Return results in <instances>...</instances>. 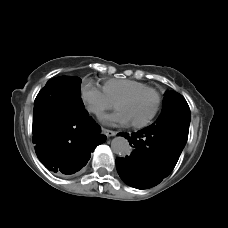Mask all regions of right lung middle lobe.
<instances>
[{
  "instance_id": "right-lung-middle-lobe-1",
  "label": "right lung middle lobe",
  "mask_w": 228,
  "mask_h": 228,
  "mask_svg": "<svg viewBox=\"0 0 228 228\" xmlns=\"http://www.w3.org/2000/svg\"><path fill=\"white\" fill-rule=\"evenodd\" d=\"M46 85L56 86L59 98L65 102L70 104H82L80 95V78L63 76L49 80Z\"/></svg>"
}]
</instances>
